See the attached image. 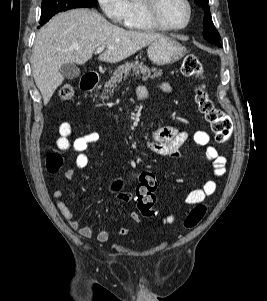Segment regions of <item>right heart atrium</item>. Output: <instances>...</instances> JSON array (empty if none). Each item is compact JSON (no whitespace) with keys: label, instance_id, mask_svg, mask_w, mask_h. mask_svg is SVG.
<instances>
[{"label":"right heart atrium","instance_id":"right-heart-atrium-1","mask_svg":"<svg viewBox=\"0 0 267 301\" xmlns=\"http://www.w3.org/2000/svg\"><path fill=\"white\" fill-rule=\"evenodd\" d=\"M101 11L111 21L124 25L127 20V0H97Z\"/></svg>","mask_w":267,"mask_h":301}]
</instances>
